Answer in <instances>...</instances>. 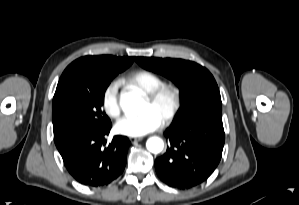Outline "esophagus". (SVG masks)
I'll return each mask as SVG.
<instances>
[{
  "label": "esophagus",
  "instance_id": "obj_1",
  "mask_svg": "<svg viewBox=\"0 0 299 205\" xmlns=\"http://www.w3.org/2000/svg\"><path fill=\"white\" fill-rule=\"evenodd\" d=\"M129 139L131 142H137V141L142 140V137H130Z\"/></svg>",
  "mask_w": 299,
  "mask_h": 205
}]
</instances>
